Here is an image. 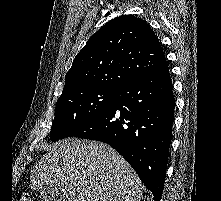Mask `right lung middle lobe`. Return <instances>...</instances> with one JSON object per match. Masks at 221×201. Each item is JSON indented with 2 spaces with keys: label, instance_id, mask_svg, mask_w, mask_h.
I'll use <instances>...</instances> for the list:
<instances>
[{
  "label": "right lung middle lobe",
  "instance_id": "obj_1",
  "mask_svg": "<svg viewBox=\"0 0 221 201\" xmlns=\"http://www.w3.org/2000/svg\"><path fill=\"white\" fill-rule=\"evenodd\" d=\"M115 89L89 88L60 96L50 139L68 137L75 129L104 109L116 94Z\"/></svg>",
  "mask_w": 221,
  "mask_h": 201
}]
</instances>
